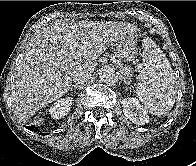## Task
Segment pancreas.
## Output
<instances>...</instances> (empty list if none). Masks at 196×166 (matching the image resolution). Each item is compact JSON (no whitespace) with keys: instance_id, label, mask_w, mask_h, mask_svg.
I'll use <instances>...</instances> for the list:
<instances>
[{"instance_id":"cf45deb5","label":"pancreas","mask_w":196,"mask_h":166,"mask_svg":"<svg viewBox=\"0 0 196 166\" xmlns=\"http://www.w3.org/2000/svg\"><path fill=\"white\" fill-rule=\"evenodd\" d=\"M121 72L127 77L130 78L131 73H130V69L127 67H121Z\"/></svg>"}]
</instances>
